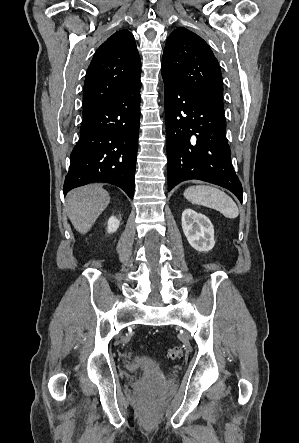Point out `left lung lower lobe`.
Listing matches in <instances>:
<instances>
[{
  "instance_id": "obj_1",
  "label": "left lung lower lobe",
  "mask_w": 299,
  "mask_h": 443,
  "mask_svg": "<svg viewBox=\"0 0 299 443\" xmlns=\"http://www.w3.org/2000/svg\"><path fill=\"white\" fill-rule=\"evenodd\" d=\"M168 191L199 179L230 190L241 202V183L230 160L224 112L163 75Z\"/></svg>"
}]
</instances>
